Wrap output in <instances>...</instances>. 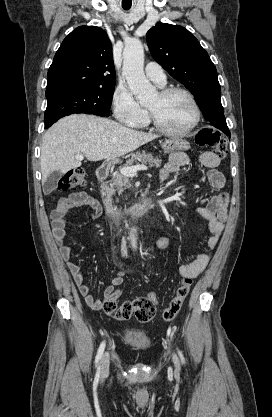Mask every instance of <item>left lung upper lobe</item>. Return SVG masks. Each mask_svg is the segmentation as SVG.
Here are the masks:
<instances>
[{"mask_svg": "<svg viewBox=\"0 0 272 417\" xmlns=\"http://www.w3.org/2000/svg\"><path fill=\"white\" fill-rule=\"evenodd\" d=\"M146 40L153 58L194 95L205 119L228 135L216 68L193 34L182 26L158 23Z\"/></svg>", "mask_w": 272, "mask_h": 417, "instance_id": "obj_1", "label": "left lung upper lobe"}]
</instances>
